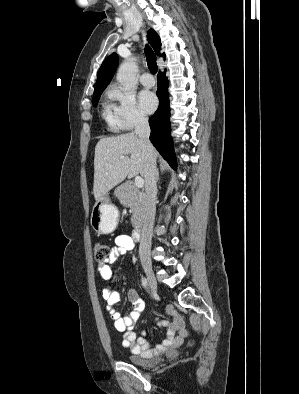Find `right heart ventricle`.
Returning <instances> with one entry per match:
<instances>
[{
	"instance_id": "1",
	"label": "right heart ventricle",
	"mask_w": 299,
	"mask_h": 394,
	"mask_svg": "<svg viewBox=\"0 0 299 394\" xmlns=\"http://www.w3.org/2000/svg\"><path fill=\"white\" fill-rule=\"evenodd\" d=\"M103 117L112 129H116L118 127L116 117L113 113L111 105L108 103H106L104 106Z\"/></svg>"
}]
</instances>
